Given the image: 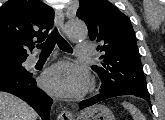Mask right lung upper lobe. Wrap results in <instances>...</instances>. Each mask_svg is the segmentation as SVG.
Listing matches in <instances>:
<instances>
[{"instance_id":"1","label":"right lung upper lobe","mask_w":165,"mask_h":120,"mask_svg":"<svg viewBox=\"0 0 165 120\" xmlns=\"http://www.w3.org/2000/svg\"><path fill=\"white\" fill-rule=\"evenodd\" d=\"M53 22V9L40 0H8L0 8V63L26 60Z\"/></svg>"}]
</instances>
